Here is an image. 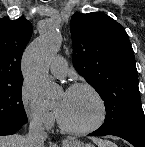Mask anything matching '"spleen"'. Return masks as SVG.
I'll return each mask as SVG.
<instances>
[{"label": "spleen", "instance_id": "spleen-1", "mask_svg": "<svg viewBox=\"0 0 145 147\" xmlns=\"http://www.w3.org/2000/svg\"><path fill=\"white\" fill-rule=\"evenodd\" d=\"M113 146H114L113 143L111 145H106V147H113Z\"/></svg>", "mask_w": 145, "mask_h": 147}]
</instances>
